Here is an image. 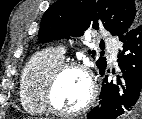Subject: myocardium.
Listing matches in <instances>:
<instances>
[{"mask_svg": "<svg viewBox=\"0 0 142 119\" xmlns=\"http://www.w3.org/2000/svg\"><path fill=\"white\" fill-rule=\"evenodd\" d=\"M70 70L81 71L88 79L89 83V96L85 103L76 110L66 111L61 109L55 102V90L61 79V77ZM44 101L48 110L60 116H77L92 107L97 97V83L95 81L92 71L86 65L75 62V61H66L62 62L58 67H56L53 72L50 74L45 88H44Z\"/></svg>", "mask_w": 142, "mask_h": 119, "instance_id": "1", "label": "myocardium"}]
</instances>
